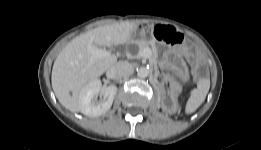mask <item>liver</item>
<instances>
[{
	"label": "liver",
	"instance_id": "1",
	"mask_svg": "<svg viewBox=\"0 0 261 150\" xmlns=\"http://www.w3.org/2000/svg\"><path fill=\"white\" fill-rule=\"evenodd\" d=\"M136 27L133 22L97 27L77 36L62 49L54 61L51 81L58 101L66 109L81 112L82 89L117 63V57L111 53L90 63L88 46L101 48L124 44L130 40Z\"/></svg>",
	"mask_w": 261,
	"mask_h": 150
}]
</instances>
